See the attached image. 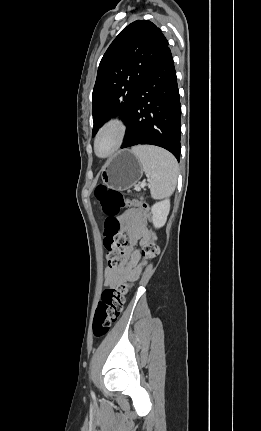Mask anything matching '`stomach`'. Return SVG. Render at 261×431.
<instances>
[{"label":"stomach","instance_id":"stomach-1","mask_svg":"<svg viewBox=\"0 0 261 431\" xmlns=\"http://www.w3.org/2000/svg\"><path fill=\"white\" fill-rule=\"evenodd\" d=\"M143 169L131 151L116 153L103 167V183L110 188L126 190L135 185L142 177Z\"/></svg>","mask_w":261,"mask_h":431}]
</instances>
